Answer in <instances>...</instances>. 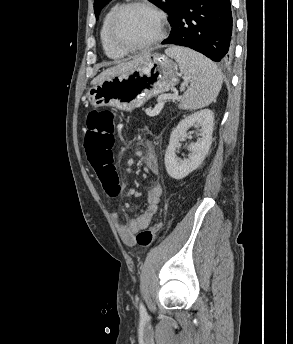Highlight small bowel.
<instances>
[{
  "label": "small bowel",
  "mask_w": 293,
  "mask_h": 344,
  "mask_svg": "<svg viewBox=\"0 0 293 344\" xmlns=\"http://www.w3.org/2000/svg\"><path fill=\"white\" fill-rule=\"evenodd\" d=\"M137 154L142 156L143 163L149 172L154 175H157L159 173L158 160L150 145H146V149L144 152L138 151ZM103 173L110 181L117 178L113 165L105 169ZM120 188L121 192H124L126 189V184L122 183ZM162 191L163 190L161 184L159 182H155L147 192V206L144 212L135 218L124 220L119 213H115L113 215V219L115 221L120 238L126 246H134L136 242L135 234L138 231L148 227L151 223L154 215L158 210Z\"/></svg>",
  "instance_id": "obj_1"
}]
</instances>
